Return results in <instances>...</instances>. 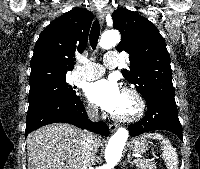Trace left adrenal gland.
I'll return each instance as SVG.
<instances>
[{
  "label": "left adrenal gland",
  "instance_id": "a2214340",
  "mask_svg": "<svg viewBox=\"0 0 200 169\" xmlns=\"http://www.w3.org/2000/svg\"><path fill=\"white\" fill-rule=\"evenodd\" d=\"M127 163H131V165L134 164V162L131 160L130 154L127 155V159L125 160V162L123 163V165L125 166Z\"/></svg>",
  "mask_w": 200,
  "mask_h": 169
}]
</instances>
